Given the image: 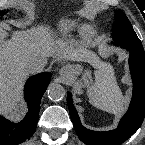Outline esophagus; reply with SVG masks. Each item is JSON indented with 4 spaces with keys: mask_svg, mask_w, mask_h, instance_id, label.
<instances>
[{
    "mask_svg": "<svg viewBox=\"0 0 145 145\" xmlns=\"http://www.w3.org/2000/svg\"><path fill=\"white\" fill-rule=\"evenodd\" d=\"M63 73H64V69H61L60 74L63 75Z\"/></svg>",
    "mask_w": 145,
    "mask_h": 145,
    "instance_id": "34e87169",
    "label": "esophagus"
}]
</instances>
